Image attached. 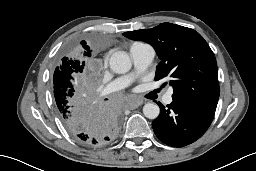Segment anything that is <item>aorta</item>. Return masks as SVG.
Segmentation results:
<instances>
[{
    "label": "aorta",
    "instance_id": "aorta-1",
    "mask_svg": "<svg viewBox=\"0 0 256 171\" xmlns=\"http://www.w3.org/2000/svg\"><path fill=\"white\" fill-rule=\"evenodd\" d=\"M110 68L118 74L127 73L131 67L132 62L128 54L124 51H117L110 57ZM160 113V108L155 103H146L143 107V114L146 118L156 119Z\"/></svg>",
    "mask_w": 256,
    "mask_h": 171
}]
</instances>
